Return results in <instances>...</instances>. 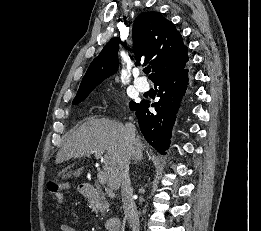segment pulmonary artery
Wrapping results in <instances>:
<instances>
[{
	"instance_id": "obj_1",
	"label": "pulmonary artery",
	"mask_w": 261,
	"mask_h": 231,
	"mask_svg": "<svg viewBox=\"0 0 261 231\" xmlns=\"http://www.w3.org/2000/svg\"><path fill=\"white\" fill-rule=\"evenodd\" d=\"M134 84L136 88L141 92H145L148 89V83L144 78L135 79Z\"/></svg>"
}]
</instances>
